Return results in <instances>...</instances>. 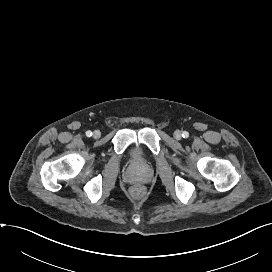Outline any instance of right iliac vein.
I'll list each match as a JSON object with an SVG mask.
<instances>
[{"instance_id":"right-iliac-vein-1","label":"right iliac vein","mask_w":272,"mask_h":272,"mask_svg":"<svg viewBox=\"0 0 272 272\" xmlns=\"http://www.w3.org/2000/svg\"><path fill=\"white\" fill-rule=\"evenodd\" d=\"M100 136H101V132L99 130H95L94 133H93V137L95 139H98Z\"/></svg>"}]
</instances>
